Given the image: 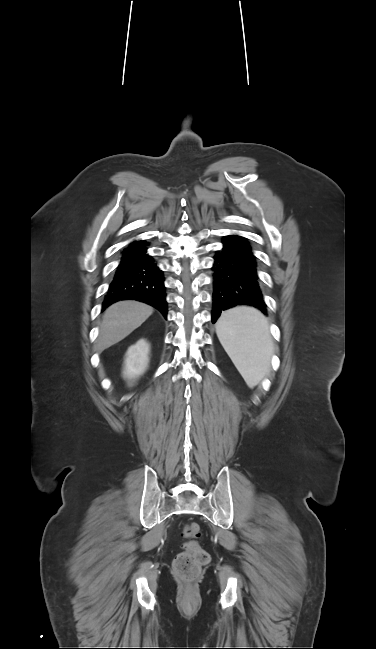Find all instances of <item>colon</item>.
I'll list each match as a JSON object with an SVG mask.
<instances>
[{"label": "colon", "mask_w": 376, "mask_h": 649, "mask_svg": "<svg viewBox=\"0 0 376 649\" xmlns=\"http://www.w3.org/2000/svg\"><path fill=\"white\" fill-rule=\"evenodd\" d=\"M182 535L187 541L183 544V552L174 558L173 572L181 579L192 580L200 574L210 558L196 541L200 536V526L197 523L186 524L182 529Z\"/></svg>", "instance_id": "colon-1"}]
</instances>
